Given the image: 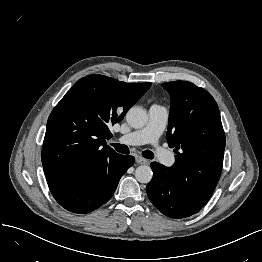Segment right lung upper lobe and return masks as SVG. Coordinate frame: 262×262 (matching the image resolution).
<instances>
[{"label": "right lung upper lobe", "instance_id": "cb5924a9", "mask_svg": "<svg viewBox=\"0 0 262 262\" xmlns=\"http://www.w3.org/2000/svg\"><path fill=\"white\" fill-rule=\"evenodd\" d=\"M104 75H89L65 94L51 112L42 149L46 178L92 175L119 157L106 145L110 126L150 88Z\"/></svg>", "mask_w": 262, "mask_h": 262}]
</instances>
